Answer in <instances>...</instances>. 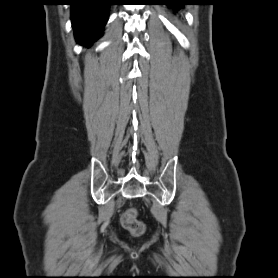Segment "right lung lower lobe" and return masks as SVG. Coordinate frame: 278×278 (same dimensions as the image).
Masks as SVG:
<instances>
[{
    "mask_svg": "<svg viewBox=\"0 0 278 278\" xmlns=\"http://www.w3.org/2000/svg\"><path fill=\"white\" fill-rule=\"evenodd\" d=\"M71 20L78 43L90 44L102 35L110 9L109 0H73Z\"/></svg>",
    "mask_w": 278,
    "mask_h": 278,
    "instance_id": "obj_1",
    "label": "right lung lower lobe"
}]
</instances>
